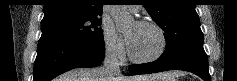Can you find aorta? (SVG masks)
Masks as SVG:
<instances>
[{
    "label": "aorta",
    "instance_id": "1",
    "mask_svg": "<svg viewBox=\"0 0 237 81\" xmlns=\"http://www.w3.org/2000/svg\"><path fill=\"white\" fill-rule=\"evenodd\" d=\"M110 14L115 22V26L118 31H124L134 23V18L126 11V9L122 5H112Z\"/></svg>",
    "mask_w": 237,
    "mask_h": 81
}]
</instances>
